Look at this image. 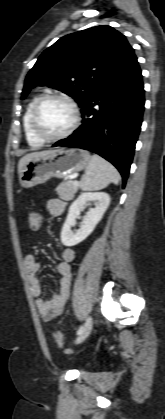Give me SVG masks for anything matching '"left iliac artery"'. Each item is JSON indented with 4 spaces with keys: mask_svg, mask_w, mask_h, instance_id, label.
Wrapping results in <instances>:
<instances>
[{
    "mask_svg": "<svg viewBox=\"0 0 165 419\" xmlns=\"http://www.w3.org/2000/svg\"><path fill=\"white\" fill-rule=\"evenodd\" d=\"M82 331H83V326L81 325L79 329L77 330V335H80Z\"/></svg>",
    "mask_w": 165,
    "mask_h": 419,
    "instance_id": "obj_1",
    "label": "left iliac artery"
}]
</instances>
